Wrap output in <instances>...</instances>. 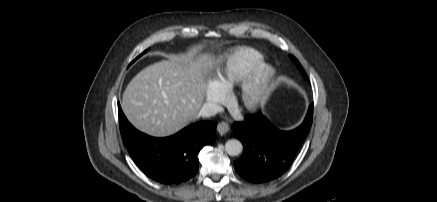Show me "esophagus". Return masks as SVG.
I'll use <instances>...</instances> for the list:
<instances>
[{"instance_id": "34e87169", "label": "esophagus", "mask_w": 437, "mask_h": 202, "mask_svg": "<svg viewBox=\"0 0 437 202\" xmlns=\"http://www.w3.org/2000/svg\"><path fill=\"white\" fill-rule=\"evenodd\" d=\"M229 129L230 127L227 122H220L217 125V131L219 132L220 135H225L229 131Z\"/></svg>"}]
</instances>
